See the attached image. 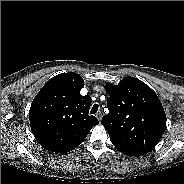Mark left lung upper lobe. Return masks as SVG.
<instances>
[{"instance_id":"1","label":"left lung upper lobe","mask_w":184,"mask_h":184,"mask_svg":"<svg viewBox=\"0 0 184 184\" xmlns=\"http://www.w3.org/2000/svg\"><path fill=\"white\" fill-rule=\"evenodd\" d=\"M109 113L101 123L114 146L140 154L150 152L166 129V114L156 93L134 77L123 78L118 85L107 83Z\"/></svg>"}]
</instances>
